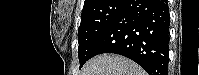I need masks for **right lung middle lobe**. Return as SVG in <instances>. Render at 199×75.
Segmentation results:
<instances>
[{
	"mask_svg": "<svg viewBox=\"0 0 199 75\" xmlns=\"http://www.w3.org/2000/svg\"><path fill=\"white\" fill-rule=\"evenodd\" d=\"M126 2L127 0H105L98 6L83 9L78 29L80 68L92 58L96 44L117 18Z\"/></svg>",
	"mask_w": 199,
	"mask_h": 75,
	"instance_id": "1",
	"label": "right lung middle lobe"
}]
</instances>
